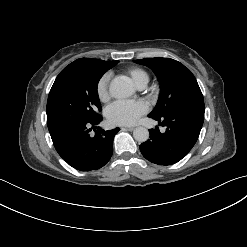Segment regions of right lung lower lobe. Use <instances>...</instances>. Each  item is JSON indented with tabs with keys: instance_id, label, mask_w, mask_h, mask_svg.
<instances>
[{
	"instance_id": "obj_1",
	"label": "right lung lower lobe",
	"mask_w": 247,
	"mask_h": 247,
	"mask_svg": "<svg viewBox=\"0 0 247 247\" xmlns=\"http://www.w3.org/2000/svg\"><path fill=\"white\" fill-rule=\"evenodd\" d=\"M101 121V116L88 121L67 120L49 128L56 151L73 168L97 170L110 160L113 139L120 129L104 131L97 128L92 136L90 131Z\"/></svg>"
}]
</instances>
